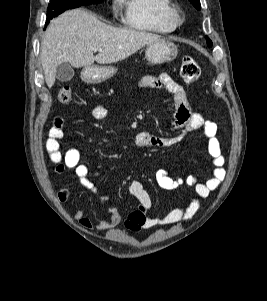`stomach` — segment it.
Here are the masks:
<instances>
[{
  "label": "stomach",
  "mask_w": 267,
  "mask_h": 301,
  "mask_svg": "<svg viewBox=\"0 0 267 301\" xmlns=\"http://www.w3.org/2000/svg\"><path fill=\"white\" fill-rule=\"evenodd\" d=\"M178 48L170 40L160 39L148 44L145 50V57L152 64H161L173 61L177 57ZM117 72L112 66H91L85 69V79L91 83L104 82Z\"/></svg>",
  "instance_id": "0dacf381"
}]
</instances>
